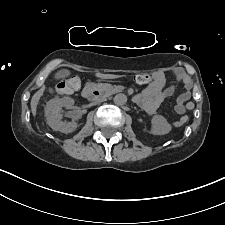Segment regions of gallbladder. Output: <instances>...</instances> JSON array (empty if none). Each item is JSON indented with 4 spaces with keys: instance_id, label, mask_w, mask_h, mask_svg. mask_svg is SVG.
I'll return each mask as SVG.
<instances>
[{
    "instance_id": "gallbladder-1",
    "label": "gallbladder",
    "mask_w": 225,
    "mask_h": 225,
    "mask_svg": "<svg viewBox=\"0 0 225 225\" xmlns=\"http://www.w3.org/2000/svg\"><path fill=\"white\" fill-rule=\"evenodd\" d=\"M70 75V72L66 69H62L55 74L56 79L64 78Z\"/></svg>"
}]
</instances>
